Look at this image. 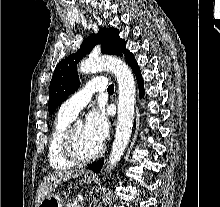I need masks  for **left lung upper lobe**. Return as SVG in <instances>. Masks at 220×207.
<instances>
[{
    "instance_id": "1",
    "label": "left lung upper lobe",
    "mask_w": 220,
    "mask_h": 207,
    "mask_svg": "<svg viewBox=\"0 0 220 207\" xmlns=\"http://www.w3.org/2000/svg\"><path fill=\"white\" fill-rule=\"evenodd\" d=\"M119 30L114 28H101L97 34L93 33L86 38L75 54H71L56 66L49 87L48 110L52 113L58 105L79 86L76 71L77 63L89 53L96 44L101 45L104 54H126L125 40L119 37Z\"/></svg>"
}]
</instances>
